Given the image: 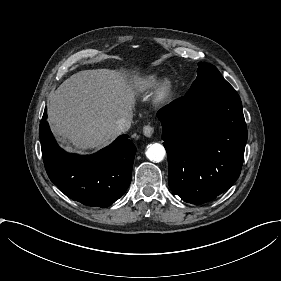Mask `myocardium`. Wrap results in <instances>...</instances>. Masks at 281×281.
Wrapping results in <instances>:
<instances>
[{
	"label": "myocardium",
	"mask_w": 281,
	"mask_h": 281,
	"mask_svg": "<svg viewBox=\"0 0 281 281\" xmlns=\"http://www.w3.org/2000/svg\"><path fill=\"white\" fill-rule=\"evenodd\" d=\"M172 90V84L168 80H164L160 83L157 89V99L162 101L167 98Z\"/></svg>",
	"instance_id": "1"
}]
</instances>
